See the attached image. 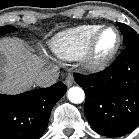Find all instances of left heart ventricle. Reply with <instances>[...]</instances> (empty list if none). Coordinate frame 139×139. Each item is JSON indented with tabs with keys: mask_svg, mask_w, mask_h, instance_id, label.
Masks as SVG:
<instances>
[{
	"mask_svg": "<svg viewBox=\"0 0 139 139\" xmlns=\"http://www.w3.org/2000/svg\"><path fill=\"white\" fill-rule=\"evenodd\" d=\"M117 42V35L113 30L105 31L98 40L96 54L99 57L105 56L112 51Z\"/></svg>",
	"mask_w": 139,
	"mask_h": 139,
	"instance_id": "left-heart-ventricle-1",
	"label": "left heart ventricle"
}]
</instances>
